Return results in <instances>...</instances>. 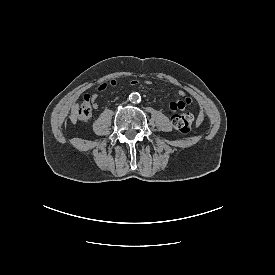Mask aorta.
<instances>
[{"instance_id":"762f6f07","label":"aorta","mask_w":275,"mask_h":275,"mask_svg":"<svg viewBox=\"0 0 275 275\" xmlns=\"http://www.w3.org/2000/svg\"><path fill=\"white\" fill-rule=\"evenodd\" d=\"M129 98L133 103H140L141 101V96L137 92L131 93Z\"/></svg>"}]
</instances>
